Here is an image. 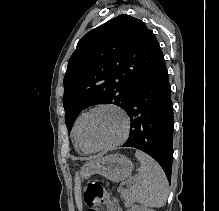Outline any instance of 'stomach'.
Here are the masks:
<instances>
[{
  "label": "stomach",
  "instance_id": "stomach-1",
  "mask_svg": "<svg viewBox=\"0 0 219 211\" xmlns=\"http://www.w3.org/2000/svg\"><path fill=\"white\" fill-rule=\"evenodd\" d=\"M132 162L121 154H111L85 163L80 170V175L88 179L94 174H99L113 182H120L130 176Z\"/></svg>",
  "mask_w": 219,
  "mask_h": 211
}]
</instances>
